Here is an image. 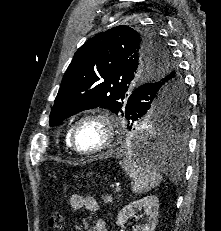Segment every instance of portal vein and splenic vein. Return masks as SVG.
<instances>
[{
    "mask_svg": "<svg viewBox=\"0 0 221 231\" xmlns=\"http://www.w3.org/2000/svg\"><path fill=\"white\" fill-rule=\"evenodd\" d=\"M119 191H120V187H117V188H116V192H119Z\"/></svg>",
    "mask_w": 221,
    "mask_h": 231,
    "instance_id": "obj_1",
    "label": "portal vein and splenic vein"
}]
</instances>
